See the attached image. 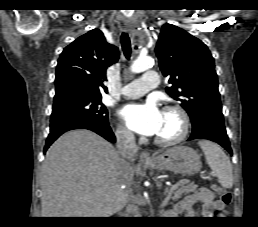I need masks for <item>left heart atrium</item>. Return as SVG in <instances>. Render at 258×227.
<instances>
[{
  "mask_svg": "<svg viewBox=\"0 0 258 227\" xmlns=\"http://www.w3.org/2000/svg\"><path fill=\"white\" fill-rule=\"evenodd\" d=\"M121 117L132 130L151 136L160 128L162 112L154 101L149 100L144 104L125 106L121 111Z\"/></svg>",
  "mask_w": 258,
  "mask_h": 227,
  "instance_id": "1",
  "label": "left heart atrium"
}]
</instances>
